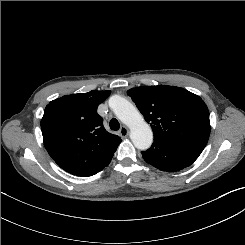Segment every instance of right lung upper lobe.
Here are the masks:
<instances>
[{
  "label": "right lung upper lobe",
  "mask_w": 245,
  "mask_h": 245,
  "mask_svg": "<svg viewBox=\"0 0 245 245\" xmlns=\"http://www.w3.org/2000/svg\"><path fill=\"white\" fill-rule=\"evenodd\" d=\"M111 91L93 90L51 101L41 119L46 150L66 172L88 177L107 166L121 138L107 132L97 107Z\"/></svg>",
  "instance_id": "obj_1"
}]
</instances>
